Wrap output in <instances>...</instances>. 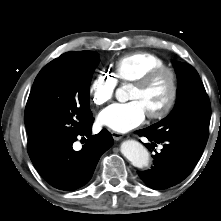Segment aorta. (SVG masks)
Returning <instances> with one entry per match:
<instances>
[{"instance_id":"aorta-1","label":"aorta","mask_w":221,"mask_h":221,"mask_svg":"<svg viewBox=\"0 0 221 221\" xmlns=\"http://www.w3.org/2000/svg\"><path fill=\"white\" fill-rule=\"evenodd\" d=\"M116 98L124 101L127 98L126 87L116 91ZM121 153L132 163L133 166L143 168L148 166L150 156L147 149L138 141L126 140L121 144Z\"/></svg>"}]
</instances>
